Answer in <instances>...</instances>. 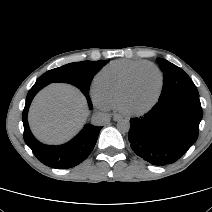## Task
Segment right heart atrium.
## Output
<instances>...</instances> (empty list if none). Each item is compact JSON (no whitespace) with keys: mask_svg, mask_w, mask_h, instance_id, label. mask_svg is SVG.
Here are the masks:
<instances>
[{"mask_svg":"<svg viewBox=\"0 0 212 212\" xmlns=\"http://www.w3.org/2000/svg\"><path fill=\"white\" fill-rule=\"evenodd\" d=\"M94 100H95V102H96V104L98 105V106H100L101 108H106V107H108V106H106L105 104H104V102L101 100V98L98 96V94L96 93V91L94 92Z\"/></svg>","mask_w":212,"mask_h":212,"instance_id":"d8ad5b80","label":"right heart atrium"}]
</instances>
